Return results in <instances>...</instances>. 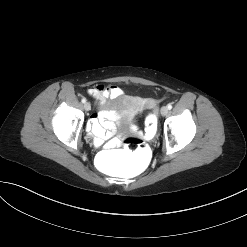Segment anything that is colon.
<instances>
[{
  "instance_id": "1",
  "label": "colon",
  "mask_w": 247,
  "mask_h": 247,
  "mask_svg": "<svg viewBox=\"0 0 247 247\" xmlns=\"http://www.w3.org/2000/svg\"><path fill=\"white\" fill-rule=\"evenodd\" d=\"M143 135L151 138L154 135L156 121L148 118L145 121ZM130 132L134 136L141 134L142 129L138 125L131 127ZM152 150L147 143L139 137H129L124 141L121 151L112 148H101L95 154V165L101 171L119 178L131 179L142 175L149 168L152 161Z\"/></svg>"
}]
</instances>
